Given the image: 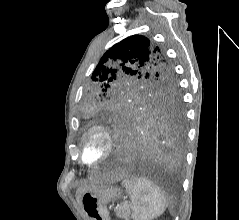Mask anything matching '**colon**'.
<instances>
[{"label": "colon", "mask_w": 239, "mask_h": 220, "mask_svg": "<svg viewBox=\"0 0 239 220\" xmlns=\"http://www.w3.org/2000/svg\"><path fill=\"white\" fill-rule=\"evenodd\" d=\"M92 219H94V220H102L101 217L98 216V215H93V216H92Z\"/></svg>", "instance_id": "5ec220e1"}]
</instances>
